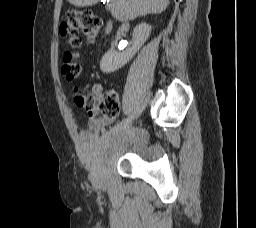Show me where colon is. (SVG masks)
<instances>
[{
  "mask_svg": "<svg viewBox=\"0 0 256 228\" xmlns=\"http://www.w3.org/2000/svg\"><path fill=\"white\" fill-rule=\"evenodd\" d=\"M100 27V18L91 11H71L67 14L66 20L60 26V33L70 48L64 53L62 66V73L68 80L77 78L81 71L77 54L74 52L81 44L79 32L82 31L89 41H94ZM76 103L89 114L100 113L105 118H115L119 112L118 96L114 91H108L100 96L78 94Z\"/></svg>",
  "mask_w": 256,
  "mask_h": 228,
  "instance_id": "colon-1",
  "label": "colon"
}]
</instances>
